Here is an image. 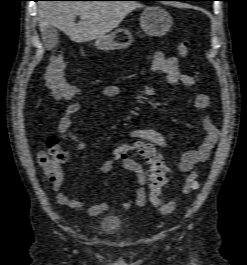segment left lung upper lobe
Wrapping results in <instances>:
<instances>
[{"label":"left lung upper lobe","instance_id":"5c2ea615","mask_svg":"<svg viewBox=\"0 0 247 265\" xmlns=\"http://www.w3.org/2000/svg\"><path fill=\"white\" fill-rule=\"evenodd\" d=\"M202 1H212V0H202Z\"/></svg>","mask_w":247,"mask_h":265}]
</instances>
